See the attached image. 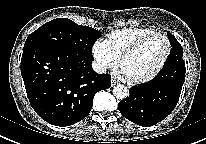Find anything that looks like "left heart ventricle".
<instances>
[{
  "label": "left heart ventricle",
  "mask_w": 206,
  "mask_h": 144,
  "mask_svg": "<svg viewBox=\"0 0 206 144\" xmlns=\"http://www.w3.org/2000/svg\"><path fill=\"white\" fill-rule=\"evenodd\" d=\"M165 52V41L153 38L123 62L122 72L129 78L145 77L158 67Z\"/></svg>",
  "instance_id": "b2bd125f"
}]
</instances>
